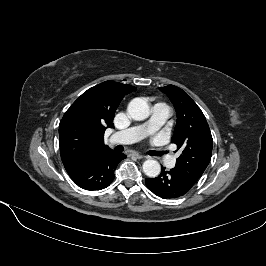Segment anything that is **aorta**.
Returning <instances> with one entry per match:
<instances>
[{
    "label": "aorta",
    "instance_id": "aorta-1",
    "mask_svg": "<svg viewBox=\"0 0 266 266\" xmlns=\"http://www.w3.org/2000/svg\"><path fill=\"white\" fill-rule=\"evenodd\" d=\"M128 115L136 121H141L150 115L149 105L141 98L133 99L128 105ZM143 171L148 177H157L160 174L161 166L156 160H146L143 163Z\"/></svg>",
    "mask_w": 266,
    "mask_h": 266
}]
</instances>
